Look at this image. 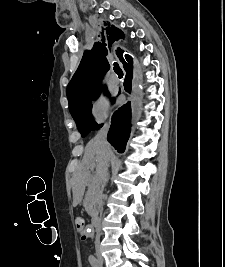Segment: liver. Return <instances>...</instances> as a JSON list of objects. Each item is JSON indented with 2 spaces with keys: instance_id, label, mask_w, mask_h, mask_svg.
Listing matches in <instances>:
<instances>
[{
  "instance_id": "1",
  "label": "liver",
  "mask_w": 225,
  "mask_h": 267,
  "mask_svg": "<svg viewBox=\"0 0 225 267\" xmlns=\"http://www.w3.org/2000/svg\"><path fill=\"white\" fill-rule=\"evenodd\" d=\"M106 153L102 146L92 139L86 145L85 152L81 163L78 164L73 182V205L77 206L81 203L85 186L90 179L89 169L96 165L98 173L103 169L106 164ZM95 176V178H96Z\"/></svg>"
}]
</instances>
